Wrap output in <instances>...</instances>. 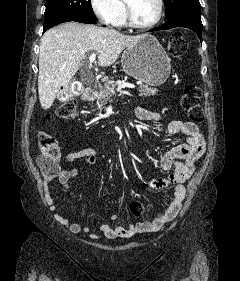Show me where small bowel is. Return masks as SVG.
<instances>
[{
	"label": "small bowel",
	"mask_w": 240,
	"mask_h": 281,
	"mask_svg": "<svg viewBox=\"0 0 240 281\" xmlns=\"http://www.w3.org/2000/svg\"><path fill=\"white\" fill-rule=\"evenodd\" d=\"M138 118L146 121L162 122L163 116L155 111L147 109H137ZM166 131L170 135L182 134L185 136V143L178 145L167 152L162 160L161 167L168 171L173 169V172L167 178H155L150 182V188L153 191H159L168 186L173 188V198L169 205L160 213H157L151 221L131 223L127 226L117 225L112 226L109 223L100 225L97 231L108 239L129 238L136 234L153 232L161 229L165 224L171 222L180 212L182 201L185 198L186 190L184 183L192 176L196 161L203 155L205 151V140L200 133L198 126L193 122H183L179 120H171L167 123ZM98 152L94 148H85L76 152H70L65 159L68 162L76 160H84L89 166H94L97 161ZM79 174V169L63 170L58 167L53 175H44L47 183L57 181L64 189L70 190L71 180ZM50 210L54 213L55 219L62 225L67 226L70 232L77 234L84 232L91 238L99 236L95 230L88 226H82L79 223H71L68 218L61 216L57 212V206L49 197L47 199ZM116 216L112 215L110 220H115Z\"/></svg>",
	"instance_id": "c3829d8e"
}]
</instances>
